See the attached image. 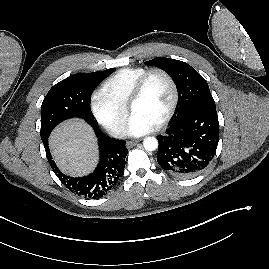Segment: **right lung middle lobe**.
Wrapping results in <instances>:
<instances>
[{
    "instance_id": "obj_1",
    "label": "right lung middle lobe",
    "mask_w": 269,
    "mask_h": 269,
    "mask_svg": "<svg viewBox=\"0 0 269 269\" xmlns=\"http://www.w3.org/2000/svg\"><path fill=\"white\" fill-rule=\"evenodd\" d=\"M114 68L88 74H75L55 84L41 106V139L47 140L56 125L65 119L80 117L90 125L96 122L90 112V95L96 85Z\"/></svg>"
}]
</instances>
